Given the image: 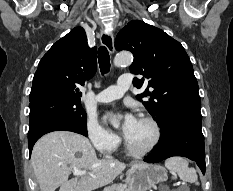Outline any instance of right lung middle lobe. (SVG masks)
<instances>
[{
    "mask_svg": "<svg viewBox=\"0 0 233 191\" xmlns=\"http://www.w3.org/2000/svg\"><path fill=\"white\" fill-rule=\"evenodd\" d=\"M29 127L42 120H61L87 129L86 112L81 100L70 99L56 94H46L30 99Z\"/></svg>",
    "mask_w": 233,
    "mask_h": 191,
    "instance_id": "obj_1",
    "label": "right lung middle lobe"
}]
</instances>
